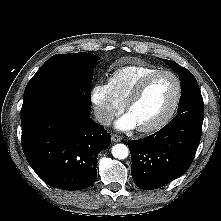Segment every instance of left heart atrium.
<instances>
[{
  "instance_id": "1",
  "label": "left heart atrium",
  "mask_w": 221,
  "mask_h": 221,
  "mask_svg": "<svg viewBox=\"0 0 221 221\" xmlns=\"http://www.w3.org/2000/svg\"><path fill=\"white\" fill-rule=\"evenodd\" d=\"M115 127L119 130H131L137 127V124L132 116L127 113L116 121Z\"/></svg>"
}]
</instances>
